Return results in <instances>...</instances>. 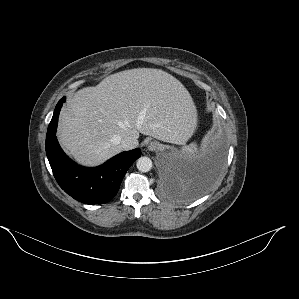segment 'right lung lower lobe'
I'll return each mask as SVG.
<instances>
[{"label": "right lung lower lobe", "instance_id": "98d812e1", "mask_svg": "<svg viewBox=\"0 0 299 299\" xmlns=\"http://www.w3.org/2000/svg\"><path fill=\"white\" fill-rule=\"evenodd\" d=\"M64 101L65 97L57 103L46 136V154L54 177L67 194L82 203H107L117 194L125 173L141 156V151L122 152L95 168L76 164L62 151L56 137L58 116Z\"/></svg>", "mask_w": 299, "mask_h": 299}]
</instances>
